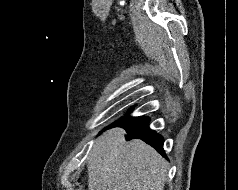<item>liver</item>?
Masks as SVG:
<instances>
[{
  "instance_id": "6515ba94",
  "label": "liver",
  "mask_w": 238,
  "mask_h": 190,
  "mask_svg": "<svg viewBox=\"0 0 238 190\" xmlns=\"http://www.w3.org/2000/svg\"><path fill=\"white\" fill-rule=\"evenodd\" d=\"M114 128L94 143L87 160L88 190H163L168 164L141 140Z\"/></svg>"
}]
</instances>
